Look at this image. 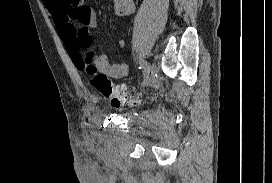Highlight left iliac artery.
<instances>
[{
  "instance_id": "44dca946",
  "label": "left iliac artery",
  "mask_w": 272,
  "mask_h": 183,
  "mask_svg": "<svg viewBox=\"0 0 272 183\" xmlns=\"http://www.w3.org/2000/svg\"><path fill=\"white\" fill-rule=\"evenodd\" d=\"M138 63H139V65H140L139 68H142L143 71H144V75H146V77H148V76H149V73H150V64H149L147 61L142 60V59H140V60L138 61Z\"/></svg>"
}]
</instances>
